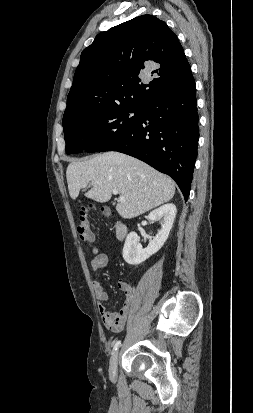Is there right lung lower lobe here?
<instances>
[{
  "label": "right lung lower lobe",
  "instance_id": "obj_1",
  "mask_svg": "<svg viewBox=\"0 0 253 413\" xmlns=\"http://www.w3.org/2000/svg\"><path fill=\"white\" fill-rule=\"evenodd\" d=\"M198 119L192 76L180 89L145 102L138 124L99 152L118 151L146 162L172 177L187 200L197 157Z\"/></svg>",
  "mask_w": 253,
  "mask_h": 413
}]
</instances>
